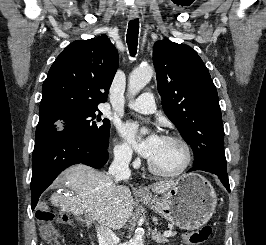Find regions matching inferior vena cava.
Listing matches in <instances>:
<instances>
[{"instance_id": "obj_1", "label": "inferior vena cava", "mask_w": 266, "mask_h": 245, "mask_svg": "<svg viewBox=\"0 0 266 245\" xmlns=\"http://www.w3.org/2000/svg\"><path fill=\"white\" fill-rule=\"evenodd\" d=\"M131 161L130 153H124V155H115L113 163H111L108 171V175L112 177L114 183L118 181H124L129 179L131 171L129 169V163ZM97 239L99 245H115L116 235H114L111 229L108 227H96Z\"/></svg>"}]
</instances>
